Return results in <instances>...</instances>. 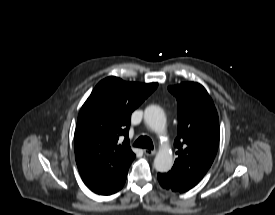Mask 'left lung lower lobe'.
I'll use <instances>...</instances> for the list:
<instances>
[{
    "label": "left lung lower lobe",
    "mask_w": 275,
    "mask_h": 215,
    "mask_svg": "<svg viewBox=\"0 0 275 215\" xmlns=\"http://www.w3.org/2000/svg\"><path fill=\"white\" fill-rule=\"evenodd\" d=\"M157 178L163 188L173 192H186L198 183V181L187 178L173 170L168 173H158Z\"/></svg>",
    "instance_id": "1"
}]
</instances>
